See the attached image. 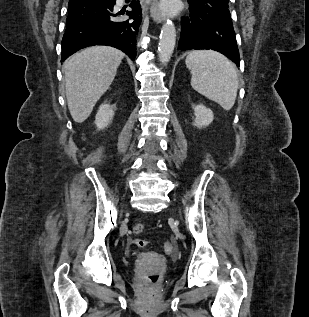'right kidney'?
<instances>
[{"instance_id":"1","label":"right kidney","mask_w":309,"mask_h":317,"mask_svg":"<svg viewBox=\"0 0 309 317\" xmlns=\"http://www.w3.org/2000/svg\"><path fill=\"white\" fill-rule=\"evenodd\" d=\"M114 116V111L107 103L102 104L95 117V124L98 130L106 128Z\"/></svg>"}]
</instances>
